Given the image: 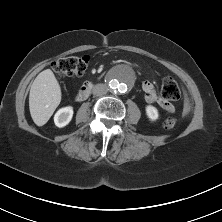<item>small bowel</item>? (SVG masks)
I'll list each match as a JSON object with an SVG mask.
<instances>
[{"mask_svg":"<svg viewBox=\"0 0 222 222\" xmlns=\"http://www.w3.org/2000/svg\"><path fill=\"white\" fill-rule=\"evenodd\" d=\"M142 90L144 92L145 100L148 103H157L162 109L170 113L175 111L173 104L157 95L154 85L150 81H144L142 83ZM188 112V108L185 107L184 114H188Z\"/></svg>","mask_w":222,"mask_h":222,"instance_id":"1","label":"small bowel"}]
</instances>
